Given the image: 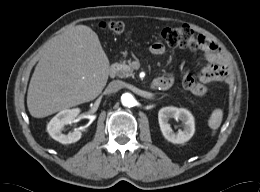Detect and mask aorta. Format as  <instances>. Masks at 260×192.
<instances>
[{
    "label": "aorta",
    "instance_id": "762f6f07",
    "mask_svg": "<svg viewBox=\"0 0 260 192\" xmlns=\"http://www.w3.org/2000/svg\"><path fill=\"white\" fill-rule=\"evenodd\" d=\"M121 103L125 107H132L135 103V98L131 93H124L121 96Z\"/></svg>",
    "mask_w": 260,
    "mask_h": 192
}]
</instances>
